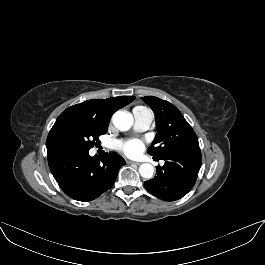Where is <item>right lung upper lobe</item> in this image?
I'll use <instances>...</instances> for the list:
<instances>
[{
    "label": "right lung upper lobe",
    "instance_id": "right-lung-upper-lobe-1",
    "mask_svg": "<svg viewBox=\"0 0 265 265\" xmlns=\"http://www.w3.org/2000/svg\"><path fill=\"white\" fill-rule=\"evenodd\" d=\"M135 99L134 96H119L108 99H93L73 105L63 111L57 120L75 116L91 119L101 125L108 126L115 111L128 105ZM48 155L50 153H47Z\"/></svg>",
    "mask_w": 265,
    "mask_h": 265
}]
</instances>
